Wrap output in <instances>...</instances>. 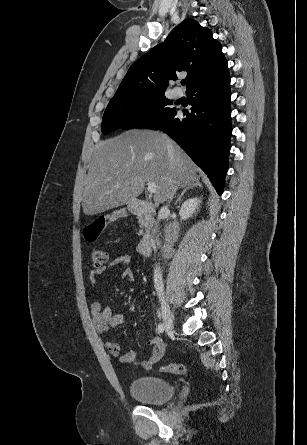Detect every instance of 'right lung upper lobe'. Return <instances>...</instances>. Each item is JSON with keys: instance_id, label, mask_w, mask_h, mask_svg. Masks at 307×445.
<instances>
[{"instance_id": "obj_1", "label": "right lung upper lobe", "mask_w": 307, "mask_h": 445, "mask_svg": "<svg viewBox=\"0 0 307 445\" xmlns=\"http://www.w3.org/2000/svg\"><path fill=\"white\" fill-rule=\"evenodd\" d=\"M226 62L212 32L196 20L185 19L163 43L130 66L112 99L164 93L168 81L176 80L181 71L188 73V89Z\"/></svg>"}]
</instances>
